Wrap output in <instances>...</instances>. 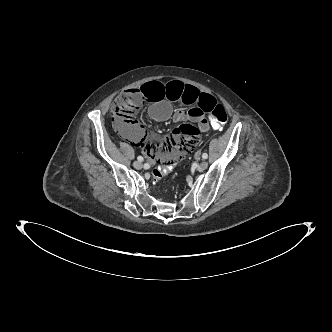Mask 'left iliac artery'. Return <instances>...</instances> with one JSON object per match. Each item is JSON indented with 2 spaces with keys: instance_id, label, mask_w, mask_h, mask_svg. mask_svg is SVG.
<instances>
[{
  "instance_id": "44dca946",
  "label": "left iliac artery",
  "mask_w": 332,
  "mask_h": 332,
  "mask_svg": "<svg viewBox=\"0 0 332 332\" xmlns=\"http://www.w3.org/2000/svg\"><path fill=\"white\" fill-rule=\"evenodd\" d=\"M202 158H203V159H207V158H208V154H207V153H203V154H202Z\"/></svg>"
}]
</instances>
